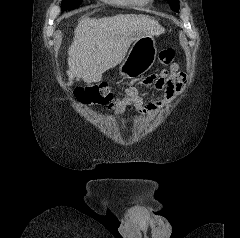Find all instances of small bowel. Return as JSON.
<instances>
[{"mask_svg": "<svg viewBox=\"0 0 240 238\" xmlns=\"http://www.w3.org/2000/svg\"><path fill=\"white\" fill-rule=\"evenodd\" d=\"M186 81L185 74L178 63H173L169 70H163L155 75L143 79L135 85L127 86L124 95L112 100L108 104L109 110L115 115L122 114L128 107H134L138 112L150 113L161 108L174 99L181 91ZM153 85L156 90L164 91V98L160 101L147 103L140 94V85Z\"/></svg>", "mask_w": 240, "mask_h": 238, "instance_id": "obj_1", "label": "small bowel"}]
</instances>
